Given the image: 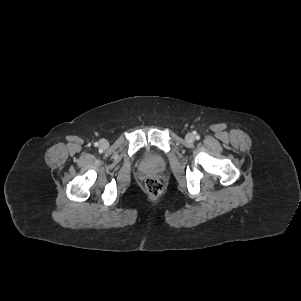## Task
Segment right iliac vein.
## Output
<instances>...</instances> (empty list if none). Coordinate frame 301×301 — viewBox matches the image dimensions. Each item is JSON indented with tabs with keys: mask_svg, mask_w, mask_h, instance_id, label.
<instances>
[{
	"mask_svg": "<svg viewBox=\"0 0 301 301\" xmlns=\"http://www.w3.org/2000/svg\"><path fill=\"white\" fill-rule=\"evenodd\" d=\"M99 146L103 149L107 148V146H108L107 140H105V139L100 140Z\"/></svg>",
	"mask_w": 301,
	"mask_h": 301,
	"instance_id": "obj_1",
	"label": "right iliac vein"
}]
</instances>
